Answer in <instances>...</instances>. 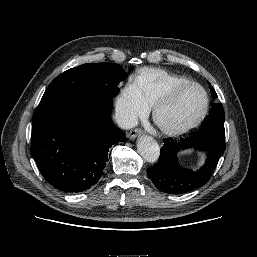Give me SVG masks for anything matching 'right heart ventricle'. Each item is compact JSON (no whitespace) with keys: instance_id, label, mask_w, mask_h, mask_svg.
I'll use <instances>...</instances> for the list:
<instances>
[{"instance_id":"e07e8e85","label":"right heart ventricle","mask_w":257,"mask_h":257,"mask_svg":"<svg viewBox=\"0 0 257 257\" xmlns=\"http://www.w3.org/2000/svg\"><path fill=\"white\" fill-rule=\"evenodd\" d=\"M191 80L160 68H143L134 76V82L150 107L176 85Z\"/></svg>"}]
</instances>
